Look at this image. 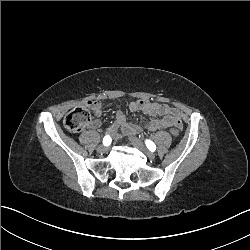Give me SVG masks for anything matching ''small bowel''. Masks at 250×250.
<instances>
[{
	"label": "small bowel",
	"mask_w": 250,
	"mask_h": 250,
	"mask_svg": "<svg viewBox=\"0 0 250 250\" xmlns=\"http://www.w3.org/2000/svg\"><path fill=\"white\" fill-rule=\"evenodd\" d=\"M85 106L96 116H99L104 108L103 104L99 101H88ZM130 109L132 112L142 111L152 116H160L158 119L142 121V127L148 131L167 129L173 125H178L182 129L180 112L167 104L139 100L132 103ZM100 125L101 122L98 119H94L88 126L90 129H97ZM119 130H123L129 135H137L140 133V127L136 124L128 123L125 115L120 110H117L112 125L108 127L105 132L111 134L115 139H119Z\"/></svg>",
	"instance_id": "1"
}]
</instances>
